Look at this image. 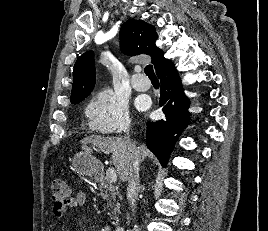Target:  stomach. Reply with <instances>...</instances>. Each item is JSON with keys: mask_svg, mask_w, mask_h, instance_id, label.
<instances>
[{"mask_svg": "<svg viewBox=\"0 0 268 231\" xmlns=\"http://www.w3.org/2000/svg\"><path fill=\"white\" fill-rule=\"evenodd\" d=\"M74 169L83 176H95L101 170V163L91 152L83 150L75 154L72 160Z\"/></svg>", "mask_w": 268, "mask_h": 231, "instance_id": "1", "label": "stomach"}]
</instances>
